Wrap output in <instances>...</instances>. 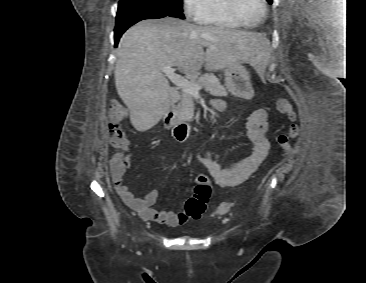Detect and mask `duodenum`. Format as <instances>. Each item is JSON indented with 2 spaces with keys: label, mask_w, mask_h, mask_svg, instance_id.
Returning <instances> with one entry per match:
<instances>
[{
  "label": "duodenum",
  "mask_w": 366,
  "mask_h": 283,
  "mask_svg": "<svg viewBox=\"0 0 366 283\" xmlns=\"http://www.w3.org/2000/svg\"><path fill=\"white\" fill-rule=\"evenodd\" d=\"M165 126L169 128L172 135L178 141L187 140L194 132L198 131V128H194L187 121L178 119L176 117L175 108L173 105H169L164 114Z\"/></svg>",
  "instance_id": "obj_1"
}]
</instances>
